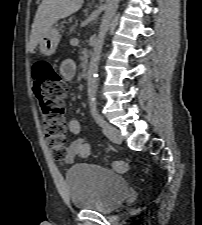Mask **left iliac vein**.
I'll return each instance as SVG.
<instances>
[{
  "label": "left iliac vein",
  "mask_w": 202,
  "mask_h": 225,
  "mask_svg": "<svg viewBox=\"0 0 202 225\" xmlns=\"http://www.w3.org/2000/svg\"><path fill=\"white\" fill-rule=\"evenodd\" d=\"M103 133L114 143L120 144L122 142V138L120 135V131L111 125H107L102 127Z\"/></svg>",
  "instance_id": "4c4485c4"
}]
</instances>
